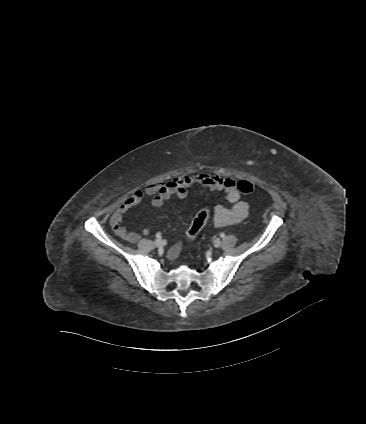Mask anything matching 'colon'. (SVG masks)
<instances>
[{
	"instance_id": "5ec220e1",
	"label": "colon",
	"mask_w": 366,
	"mask_h": 424,
	"mask_svg": "<svg viewBox=\"0 0 366 424\" xmlns=\"http://www.w3.org/2000/svg\"><path fill=\"white\" fill-rule=\"evenodd\" d=\"M237 188L239 190V192L243 195H251L254 192V186L246 181V180H242L239 181L237 184ZM209 216V209L208 208H202L193 218V220L191 221L188 230H187V244H191L195 238L197 237V235L199 234V232L201 231V229L204 227L207 219ZM187 247V245L185 246V248Z\"/></svg>"
}]
</instances>
